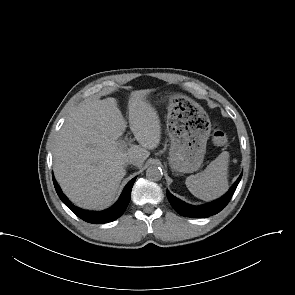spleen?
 Wrapping results in <instances>:
<instances>
[{
    "label": "spleen",
    "instance_id": "1",
    "mask_svg": "<svg viewBox=\"0 0 295 295\" xmlns=\"http://www.w3.org/2000/svg\"><path fill=\"white\" fill-rule=\"evenodd\" d=\"M229 153L222 152L199 175L186 178L188 190L197 198L210 201L222 196L228 190Z\"/></svg>",
    "mask_w": 295,
    "mask_h": 295
}]
</instances>
